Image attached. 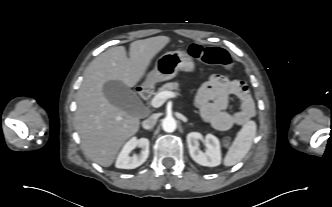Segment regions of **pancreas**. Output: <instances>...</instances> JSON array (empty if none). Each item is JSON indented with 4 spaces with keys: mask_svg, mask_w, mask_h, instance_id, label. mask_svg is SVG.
Instances as JSON below:
<instances>
[{
    "mask_svg": "<svg viewBox=\"0 0 332 207\" xmlns=\"http://www.w3.org/2000/svg\"><path fill=\"white\" fill-rule=\"evenodd\" d=\"M171 90H179V83L178 82H169L164 84L162 87L158 89V93L163 91H171ZM156 93V95L158 94Z\"/></svg>",
    "mask_w": 332,
    "mask_h": 207,
    "instance_id": "pancreas-1",
    "label": "pancreas"
}]
</instances>
